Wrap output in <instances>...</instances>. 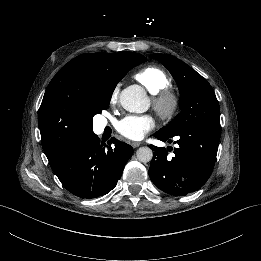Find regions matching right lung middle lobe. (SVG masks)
<instances>
[{"label":"right lung middle lobe","mask_w":261,"mask_h":261,"mask_svg":"<svg viewBox=\"0 0 261 261\" xmlns=\"http://www.w3.org/2000/svg\"><path fill=\"white\" fill-rule=\"evenodd\" d=\"M146 60L141 54L126 52L110 68L99 73L90 91L89 103L93 116L108 108L116 84L126 73L135 65Z\"/></svg>","instance_id":"1"}]
</instances>
